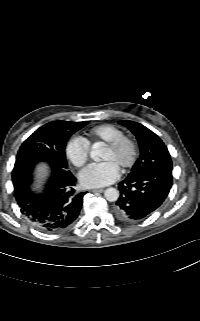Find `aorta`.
I'll use <instances>...</instances> for the list:
<instances>
[{
    "label": "aorta",
    "instance_id": "obj_1",
    "mask_svg": "<svg viewBox=\"0 0 200 321\" xmlns=\"http://www.w3.org/2000/svg\"><path fill=\"white\" fill-rule=\"evenodd\" d=\"M100 155V149L97 143L92 146L90 156L94 160H98ZM105 198L110 202H115L119 198V191L113 187L107 188L104 192Z\"/></svg>",
    "mask_w": 200,
    "mask_h": 321
}]
</instances>
